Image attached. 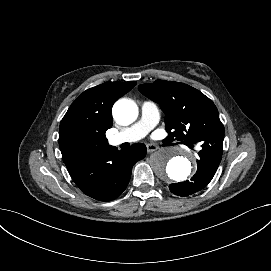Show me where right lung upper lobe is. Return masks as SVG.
Returning a JSON list of instances; mask_svg holds the SVG:
<instances>
[{"mask_svg":"<svg viewBox=\"0 0 271 271\" xmlns=\"http://www.w3.org/2000/svg\"><path fill=\"white\" fill-rule=\"evenodd\" d=\"M135 85V81L106 82L84 91L71 104L59 127V147L68 170L95 154L83 147L82 137L106 138L114 102Z\"/></svg>","mask_w":271,"mask_h":271,"instance_id":"cb5924a9","label":"right lung upper lobe"}]
</instances>
